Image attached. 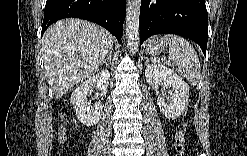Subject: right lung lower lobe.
<instances>
[{"label":"right lung lower lobe","mask_w":247,"mask_h":156,"mask_svg":"<svg viewBox=\"0 0 247 156\" xmlns=\"http://www.w3.org/2000/svg\"><path fill=\"white\" fill-rule=\"evenodd\" d=\"M125 13L126 0H47L42 35L52 23L75 17L101 25L120 40Z\"/></svg>","instance_id":"98d812e1"}]
</instances>
